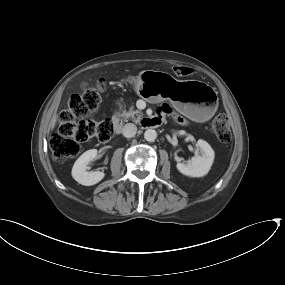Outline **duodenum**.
Returning <instances> with one entry per match:
<instances>
[{"label": "duodenum", "instance_id": "obj_1", "mask_svg": "<svg viewBox=\"0 0 285 285\" xmlns=\"http://www.w3.org/2000/svg\"><path fill=\"white\" fill-rule=\"evenodd\" d=\"M112 121L114 123V130L116 133H120L121 132V129H122V121L120 119V116L115 114L113 117H112ZM148 123L151 124V125H156L157 122L155 119H147Z\"/></svg>", "mask_w": 285, "mask_h": 285}]
</instances>
